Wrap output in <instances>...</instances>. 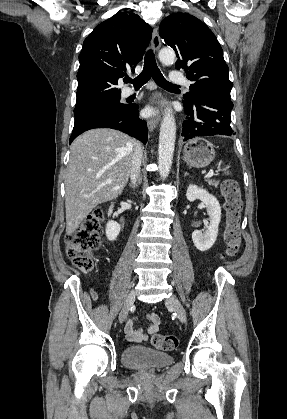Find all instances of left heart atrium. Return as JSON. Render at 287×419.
Instances as JSON below:
<instances>
[{"mask_svg":"<svg viewBox=\"0 0 287 419\" xmlns=\"http://www.w3.org/2000/svg\"><path fill=\"white\" fill-rule=\"evenodd\" d=\"M146 112H147V114H151V113H153V109L152 108H147Z\"/></svg>","mask_w":287,"mask_h":419,"instance_id":"obj_1","label":"left heart atrium"}]
</instances>
